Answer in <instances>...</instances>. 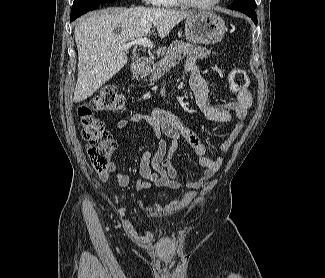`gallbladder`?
<instances>
[{
  "label": "gallbladder",
  "mask_w": 325,
  "mask_h": 278,
  "mask_svg": "<svg viewBox=\"0 0 325 278\" xmlns=\"http://www.w3.org/2000/svg\"><path fill=\"white\" fill-rule=\"evenodd\" d=\"M132 58H133V59H136V58H137V55H136V54H135V55H133V56H132Z\"/></svg>",
  "instance_id": "gallbladder-1"
}]
</instances>
